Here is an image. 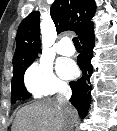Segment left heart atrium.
<instances>
[{
  "mask_svg": "<svg viewBox=\"0 0 117 131\" xmlns=\"http://www.w3.org/2000/svg\"><path fill=\"white\" fill-rule=\"evenodd\" d=\"M58 72L64 78H73L77 74V67L71 61H61L58 64Z\"/></svg>",
  "mask_w": 117,
  "mask_h": 131,
  "instance_id": "39dd6f15",
  "label": "left heart atrium"
}]
</instances>
